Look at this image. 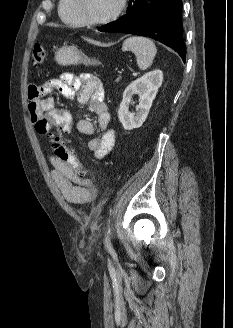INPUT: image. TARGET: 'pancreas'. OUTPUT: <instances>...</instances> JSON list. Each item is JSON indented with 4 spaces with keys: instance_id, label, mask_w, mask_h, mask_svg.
<instances>
[{
    "instance_id": "1",
    "label": "pancreas",
    "mask_w": 233,
    "mask_h": 328,
    "mask_svg": "<svg viewBox=\"0 0 233 328\" xmlns=\"http://www.w3.org/2000/svg\"><path fill=\"white\" fill-rule=\"evenodd\" d=\"M121 80V77H118L115 81L119 82Z\"/></svg>"
}]
</instances>
